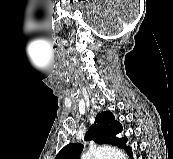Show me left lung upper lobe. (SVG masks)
Instances as JSON below:
<instances>
[{
	"mask_svg": "<svg viewBox=\"0 0 173 159\" xmlns=\"http://www.w3.org/2000/svg\"><path fill=\"white\" fill-rule=\"evenodd\" d=\"M122 131V125L115 121V116L109 112H101L95 118L94 124L85 134V140H94L98 144H112L128 150L127 138H118L116 134ZM83 150L82 144H68L60 150L55 159H79Z\"/></svg>",
	"mask_w": 173,
	"mask_h": 159,
	"instance_id": "obj_1",
	"label": "left lung upper lobe"
}]
</instances>
